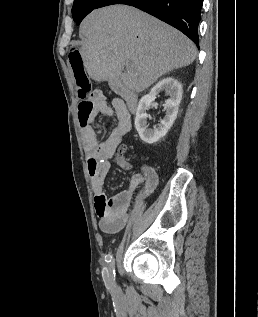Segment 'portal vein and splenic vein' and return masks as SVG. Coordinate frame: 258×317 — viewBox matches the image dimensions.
I'll use <instances>...</instances> for the list:
<instances>
[{
  "label": "portal vein and splenic vein",
  "mask_w": 258,
  "mask_h": 317,
  "mask_svg": "<svg viewBox=\"0 0 258 317\" xmlns=\"http://www.w3.org/2000/svg\"><path fill=\"white\" fill-rule=\"evenodd\" d=\"M125 64H126V68H129V66H130L129 60H126Z\"/></svg>",
  "instance_id": "18ae733b"
}]
</instances>
